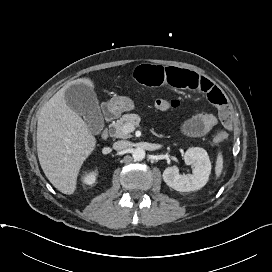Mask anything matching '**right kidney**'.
Segmentation results:
<instances>
[{"mask_svg":"<svg viewBox=\"0 0 272 272\" xmlns=\"http://www.w3.org/2000/svg\"><path fill=\"white\" fill-rule=\"evenodd\" d=\"M96 177L97 172H90L82 178V181L86 185H93L96 182Z\"/></svg>","mask_w":272,"mask_h":272,"instance_id":"1","label":"right kidney"}]
</instances>
